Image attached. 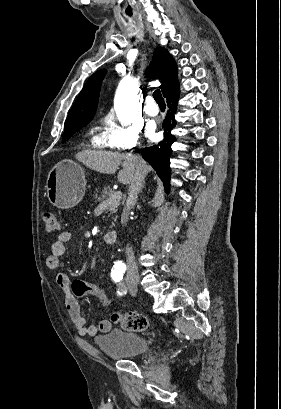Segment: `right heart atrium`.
I'll list each match as a JSON object with an SVG mask.
<instances>
[{
  "instance_id": "1",
  "label": "right heart atrium",
  "mask_w": 281,
  "mask_h": 409,
  "mask_svg": "<svg viewBox=\"0 0 281 409\" xmlns=\"http://www.w3.org/2000/svg\"><path fill=\"white\" fill-rule=\"evenodd\" d=\"M122 116L125 119H120V122L116 119H104L101 136L106 147L118 150L140 147L143 143L142 125L137 120V115Z\"/></svg>"
}]
</instances>
